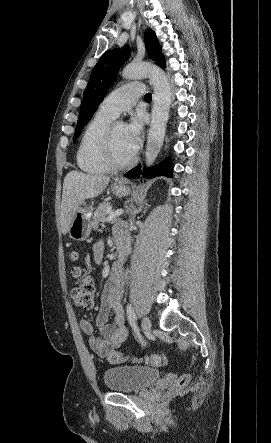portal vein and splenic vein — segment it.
<instances>
[{
  "mask_svg": "<svg viewBox=\"0 0 271 443\" xmlns=\"http://www.w3.org/2000/svg\"><path fill=\"white\" fill-rule=\"evenodd\" d=\"M121 214H123V210H116V212H111L108 218H106V222H112V220H115V218H117V216H121Z\"/></svg>",
  "mask_w": 271,
  "mask_h": 443,
  "instance_id": "1",
  "label": "portal vein and splenic vein"
}]
</instances>
